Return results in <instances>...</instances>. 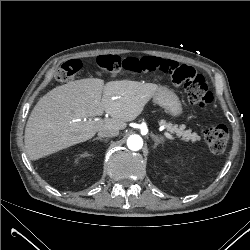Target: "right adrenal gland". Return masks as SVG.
Instances as JSON below:
<instances>
[{
    "instance_id": "2a0ac1e0",
    "label": "right adrenal gland",
    "mask_w": 250,
    "mask_h": 250,
    "mask_svg": "<svg viewBox=\"0 0 250 250\" xmlns=\"http://www.w3.org/2000/svg\"><path fill=\"white\" fill-rule=\"evenodd\" d=\"M95 140H100V141H104V142L108 141V139H103L101 137H96V138L93 139V141H95Z\"/></svg>"
}]
</instances>
